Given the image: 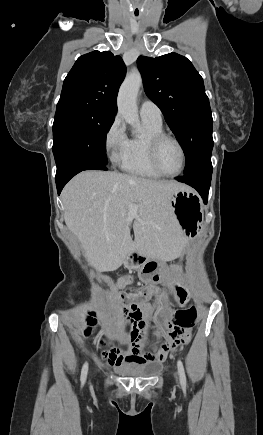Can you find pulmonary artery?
<instances>
[{
    "label": "pulmonary artery",
    "instance_id": "pulmonary-artery-1",
    "mask_svg": "<svg viewBox=\"0 0 263 435\" xmlns=\"http://www.w3.org/2000/svg\"><path fill=\"white\" fill-rule=\"evenodd\" d=\"M142 118H148L156 122H162V113L159 107L150 100H145L140 106Z\"/></svg>",
    "mask_w": 263,
    "mask_h": 435
}]
</instances>
